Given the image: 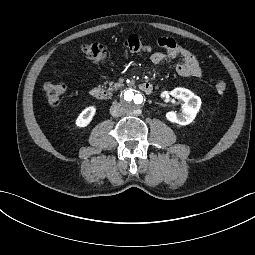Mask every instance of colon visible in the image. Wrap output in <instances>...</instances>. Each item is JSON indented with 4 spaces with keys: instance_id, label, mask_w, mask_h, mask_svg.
Returning a JSON list of instances; mask_svg holds the SVG:
<instances>
[{
    "instance_id": "obj_1",
    "label": "colon",
    "mask_w": 255,
    "mask_h": 255,
    "mask_svg": "<svg viewBox=\"0 0 255 255\" xmlns=\"http://www.w3.org/2000/svg\"><path fill=\"white\" fill-rule=\"evenodd\" d=\"M124 47L128 52L136 54L147 53L153 49L136 35L129 36L124 41ZM82 52L89 60L94 62H104L109 56L107 47L97 42L83 45ZM226 87V83L223 80H218L215 83V89L218 93H223ZM42 90L47 103L50 106H57L66 92V85L63 82H46L43 84Z\"/></svg>"
}]
</instances>
